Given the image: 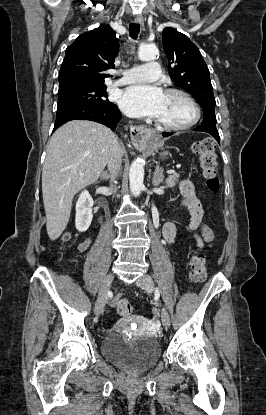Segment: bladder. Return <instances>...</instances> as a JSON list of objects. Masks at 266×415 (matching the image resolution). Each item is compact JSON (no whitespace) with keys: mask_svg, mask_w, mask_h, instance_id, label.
<instances>
[{"mask_svg":"<svg viewBox=\"0 0 266 415\" xmlns=\"http://www.w3.org/2000/svg\"><path fill=\"white\" fill-rule=\"evenodd\" d=\"M101 351L109 361L130 373L149 370L161 355L160 344L155 338L144 336L128 341L115 331L105 336Z\"/></svg>","mask_w":266,"mask_h":415,"instance_id":"obj_1","label":"bladder"}]
</instances>
